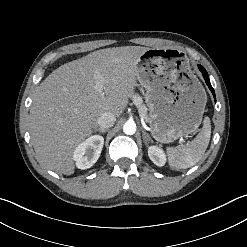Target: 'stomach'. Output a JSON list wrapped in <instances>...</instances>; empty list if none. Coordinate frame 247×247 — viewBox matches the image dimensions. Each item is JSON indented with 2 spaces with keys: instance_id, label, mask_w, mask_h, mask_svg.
I'll use <instances>...</instances> for the list:
<instances>
[{
  "instance_id": "obj_1",
  "label": "stomach",
  "mask_w": 247,
  "mask_h": 247,
  "mask_svg": "<svg viewBox=\"0 0 247 247\" xmlns=\"http://www.w3.org/2000/svg\"><path fill=\"white\" fill-rule=\"evenodd\" d=\"M136 77L146 90L148 122L156 141L170 143L198 129L207 95L180 50L148 49L137 62Z\"/></svg>"
}]
</instances>
